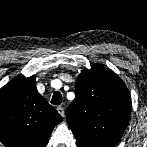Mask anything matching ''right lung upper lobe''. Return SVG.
I'll return each instance as SVG.
<instances>
[{
  "instance_id": "obj_1",
  "label": "right lung upper lobe",
  "mask_w": 147,
  "mask_h": 147,
  "mask_svg": "<svg viewBox=\"0 0 147 147\" xmlns=\"http://www.w3.org/2000/svg\"><path fill=\"white\" fill-rule=\"evenodd\" d=\"M61 121L38 93L35 76L19 75L0 90V141L5 147H46Z\"/></svg>"
}]
</instances>
